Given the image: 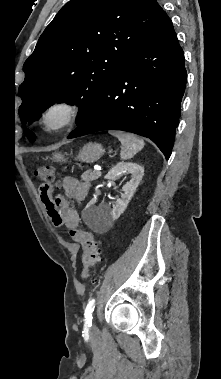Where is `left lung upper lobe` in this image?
I'll use <instances>...</instances> for the list:
<instances>
[{"label": "left lung upper lobe", "instance_id": "left-lung-upper-lobe-1", "mask_svg": "<svg viewBox=\"0 0 221 379\" xmlns=\"http://www.w3.org/2000/svg\"><path fill=\"white\" fill-rule=\"evenodd\" d=\"M156 0H71L40 36L19 87L23 124L56 102L79 106L76 124L161 18ZM30 142L35 134L26 129Z\"/></svg>", "mask_w": 221, "mask_h": 379}]
</instances>
